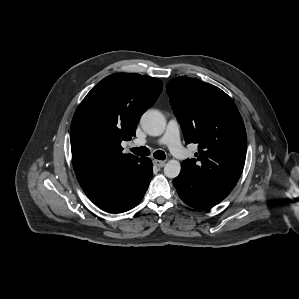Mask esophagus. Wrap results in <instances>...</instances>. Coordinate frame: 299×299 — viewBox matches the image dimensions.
I'll list each match as a JSON object with an SVG mask.
<instances>
[{"label": "esophagus", "instance_id": "1", "mask_svg": "<svg viewBox=\"0 0 299 299\" xmlns=\"http://www.w3.org/2000/svg\"><path fill=\"white\" fill-rule=\"evenodd\" d=\"M153 164L155 165V166H157V167H163L164 165H165V161H161V160H156V159H154L153 160Z\"/></svg>", "mask_w": 299, "mask_h": 299}]
</instances>
